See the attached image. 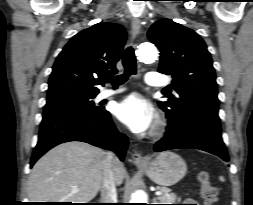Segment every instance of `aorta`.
<instances>
[{
    "mask_svg": "<svg viewBox=\"0 0 253 205\" xmlns=\"http://www.w3.org/2000/svg\"><path fill=\"white\" fill-rule=\"evenodd\" d=\"M138 57L145 63H152L158 57V51L154 44L150 42L143 43L139 46ZM147 202V197L143 193H136L132 199V203L144 204Z\"/></svg>",
    "mask_w": 253,
    "mask_h": 205,
    "instance_id": "762f6f07",
    "label": "aorta"
}]
</instances>
